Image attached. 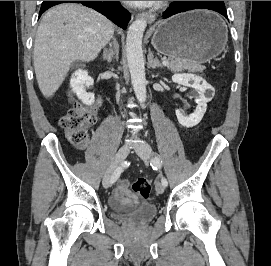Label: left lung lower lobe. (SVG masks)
Wrapping results in <instances>:
<instances>
[{
  "mask_svg": "<svg viewBox=\"0 0 271 266\" xmlns=\"http://www.w3.org/2000/svg\"><path fill=\"white\" fill-rule=\"evenodd\" d=\"M193 9H209L216 11L222 14L225 18H227V11L226 10H219L212 7H207L202 4L196 2H189V1H175L170 4V7L163 13V18L166 19L172 15L177 13L193 10Z\"/></svg>",
  "mask_w": 271,
  "mask_h": 266,
  "instance_id": "obj_1",
  "label": "left lung lower lobe"
}]
</instances>
